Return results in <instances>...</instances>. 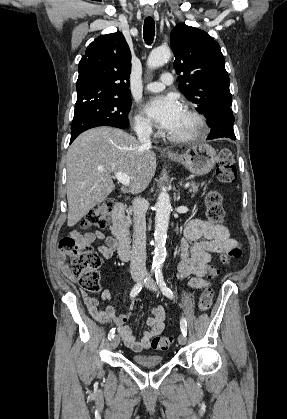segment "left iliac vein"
<instances>
[{"instance_id":"4c4485c4","label":"left iliac vein","mask_w":287,"mask_h":419,"mask_svg":"<svg viewBox=\"0 0 287 419\" xmlns=\"http://www.w3.org/2000/svg\"><path fill=\"white\" fill-rule=\"evenodd\" d=\"M145 286H146L148 289H150V290H152V291H154V292H157V291H158V286H157L156 282H155L153 279H150V280H149V281L145 284ZM186 341H187L186 336H185V335H183V334H180V335H179V337H178V342H179V344H180V345H184V344H186Z\"/></svg>"}]
</instances>
